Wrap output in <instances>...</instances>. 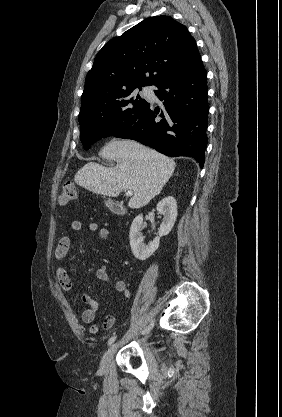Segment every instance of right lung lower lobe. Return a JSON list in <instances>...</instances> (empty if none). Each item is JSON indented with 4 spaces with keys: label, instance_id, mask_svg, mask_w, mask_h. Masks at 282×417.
I'll return each mask as SVG.
<instances>
[{
    "label": "right lung lower lobe",
    "instance_id": "98d812e1",
    "mask_svg": "<svg viewBox=\"0 0 282 417\" xmlns=\"http://www.w3.org/2000/svg\"><path fill=\"white\" fill-rule=\"evenodd\" d=\"M207 75L202 61L173 74L157 87L164 111L149 104L128 127L114 134L167 156L193 157L203 168L208 126ZM165 117L159 120L158 117Z\"/></svg>",
    "mask_w": 282,
    "mask_h": 417
}]
</instances>
